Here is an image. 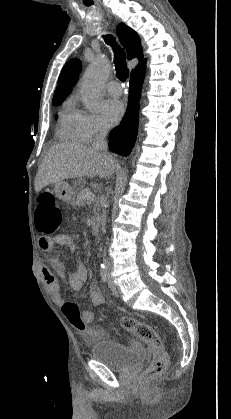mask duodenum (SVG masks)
<instances>
[{
	"mask_svg": "<svg viewBox=\"0 0 231 419\" xmlns=\"http://www.w3.org/2000/svg\"><path fill=\"white\" fill-rule=\"evenodd\" d=\"M91 229L94 234H98L100 230V219L97 216H94L91 220Z\"/></svg>",
	"mask_w": 231,
	"mask_h": 419,
	"instance_id": "obj_1",
	"label": "duodenum"
}]
</instances>
